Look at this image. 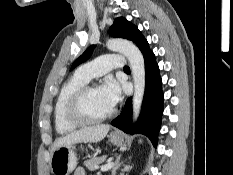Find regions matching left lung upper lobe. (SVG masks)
<instances>
[{"label":"left lung upper lobe","instance_id":"left-lung-upper-lobe-1","mask_svg":"<svg viewBox=\"0 0 233 175\" xmlns=\"http://www.w3.org/2000/svg\"><path fill=\"white\" fill-rule=\"evenodd\" d=\"M109 32L113 36L121 37L134 42L140 50L146 44H148L147 40L144 38L138 28L123 17H119L114 20ZM93 49L94 45L88 47L86 51L73 63L71 70L77 65L86 61L91 56Z\"/></svg>","mask_w":233,"mask_h":175}]
</instances>
